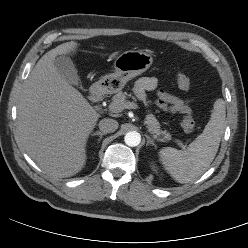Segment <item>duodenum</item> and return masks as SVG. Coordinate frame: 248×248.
Returning <instances> with one entry per match:
<instances>
[{
    "instance_id": "obj_1",
    "label": "duodenum",
    "mask_w": 248,
    "mask_h": 248,
    "mask_svg": "<svg viewBox=\"0 0 248 248\" xmlns=\"http://www.w3.org/2000/svg\"><path fill=\"white\" fill-rule=\"evenodd\" d=\"M91 98L93 100L94 103L99 102L100 100V92L99 90H95L92 94H91Z\"/></svg>"
}]
</instances>
